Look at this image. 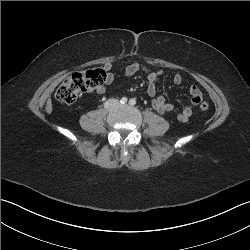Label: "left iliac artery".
Instances as JSON below:
<instances>
[{
    "mask_svg": "<svg viewBox=\"0 0 250 250\" xmlns=\"http://www.w3.org/2000/svg\"><path fill=\"white\" fill-rule=\"evenodd\" d=\"M129 104H130V105H135V104H136L135 99H130Z\"/></svg>",
    "mask_w": 250,
    "mask_h": 250,
    "instance_id": "44dca946",
    "label": "left iliac artery"
}]
</instances>
